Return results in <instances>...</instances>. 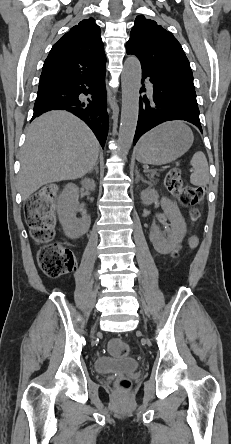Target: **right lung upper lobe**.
<instances>
[{
  "mask_svg": "<svg viewBox=\"0 0 231 444\" xmlns=\"http://www.w3.org/2000/svg\"><path fill=\"white\" fill-rule=\"evenodd\" d=\"M100 33L95 20L89 18L62 36L44 62L39 88L105 71L106 56Z\"/></svg>",
  "mask_w": 231,
  "mask_h": 444,
  "instance_id": "1",
  "label": "right lung upper lobe"
}]
</instances>
